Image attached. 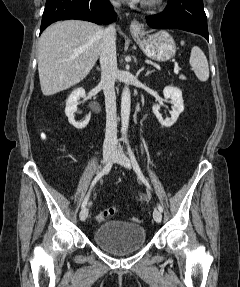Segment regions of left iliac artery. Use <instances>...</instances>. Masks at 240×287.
Listing matches in <instances>:
<instances>
[{"instance_id": "44dca946", "label": "left iliac artery", "mask_w": 240, "mask_h": 287, "mask_svg": "<svg viewBox=\"0 0 240 287\" xmlns=\"http://www.w3.org/2000/svg\"><path fill=\"white\" fill-rule=\"evenodd\" d=\"M127 144H128V142H127ZM128 152H129V157H130V159H131V162H132V165H133V168H134L136 174H137L138 177L143 181V183L147 186V188H148V189H151V187H150L148 181L146 180V178L143 176V174H142V172H141V169H140V167H139V165H138V163H137V161H136V158H135V156H134L132 150H131L130 147H129V144H128ZM158 210H159L160 212H163V207H162L160 204H158Z\"/></svg>"}]
</instances>
